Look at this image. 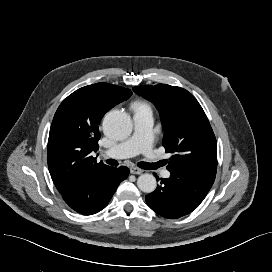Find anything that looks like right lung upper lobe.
Returning a JSON list of instances; mask_svg holds the SVG:
<instances>
[{"mask_svg": "<svg viewBox=\"0 0 272 272\" xmlns=\"http://www.w3.org/2000/svg\"><path fill=\"white\" fill-rule=\"evenodd\" d=\"M131 95L129 89L96 83L76 90L60 104L50 128L47 159L62 196L78 191L110 168L91 156L98 149V125L107 111Z\"/></svg>", "mask_w": 272, "mask_h": 272, "instance_id": "1", "label": "right lung upper lobe"}]
</instances>
